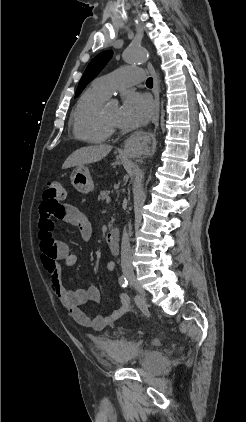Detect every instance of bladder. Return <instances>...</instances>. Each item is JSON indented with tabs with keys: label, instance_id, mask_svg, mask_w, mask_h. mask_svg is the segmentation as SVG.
I'll return each instance as SVG.
<instances>
[{
	"label": "bladder",
	"instance_id": "bladder-1",
	"mask_svg": "<svg viewBox=\"0 0 246 422\" xmlns=\"http://www.w3.org/2000/svg\"><path fill=\"white\" fill-rule=\"evenodd\" d=\"M97 349L102 356L119 364L137 362L142 356L141 344L132 339L104 338L98 342ZM150 359L157 367L166 363V356L160 350H153Z\"/></svg>",
	"mask_w": 246,
	"mask_h": 422
}]
</instances>
